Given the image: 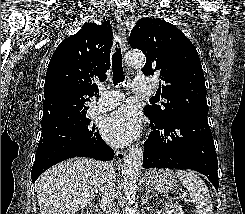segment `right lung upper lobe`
Masks as SVG:
<instances>
[{
	"label": "right lung upper lobe",
	"mask_w": 245,
	"mask_h": 214,
	"mask_svg": "<svg viewBox=\"0 0 245 214\" xmlns=\"http://www.w3.org/2000/svg\"><path fill=\"white\" fill-rule=\"evenodd\" d=\"M111 46L110 21L102 26L86 23L59 44L45 77L42 130L58 127L87 112L85 102L99 95L95 82L106 79Z\"/></svg>",
	"instance_id": "right-lung-upper-lobe-1"
}]
</instances>
